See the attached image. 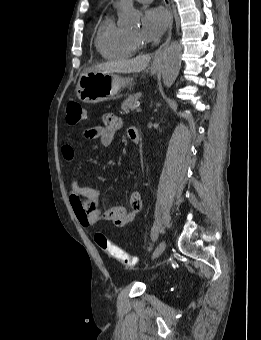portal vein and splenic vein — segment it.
Wrapping results in <instances>:
<instances>
[{
	"mask_svg": "<svg viewBox=\"0 0 261 340\" xmlns=\"http://www.w3.org/2000/svg\"><path fill=\"white\" fill-rule=\"evenodd\" d=\"M142 111V108L140 107L139 104L136 105V112H141Z\"/></svg>",
	"mask_w": 261,
	"mask_h": 340,
	"instance_id": "obj_1",
	"label": "portal vein and splenic vein"
}]
</instances>
